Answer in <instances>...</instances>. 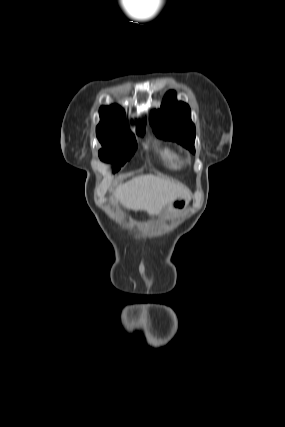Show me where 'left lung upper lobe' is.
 <instances>
[{
  "label": "left lung upper lobe",
  "instance_id": "1",
  "mask_svg": "<svg viewBox=\"0 0 285 427\" xmlns=\"http://www.w3.org/2000/svg\"><path fill=\"white\" fill-rule=\"evenodd\" d=\"M158 137L173 140L195 153V126L191 121L190 107L178 102L176 93L169 91L160 110L150 120Z\"/></svg>",
  "mask_w": 285,
  "mask_h": 427
}]
</instances>
